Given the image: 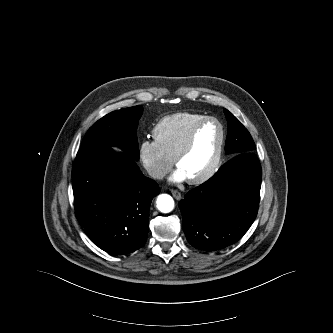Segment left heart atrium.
Instances as JSON below:
<instances>
[{"label":"left heart atrium","mask_w":333,"mask_h":333,"mask_svg":"<svg viewBox=\"0 0 333 333\" xmlns=\"http://www.w3.org/2000/svg\"><path fill=\"white\" fill-rule=\"evenodd\" d=\"M186 180H187L186 176L180 169H177L171 177V181L173 182H183Z\"/></svg>","instance_id":"left-heart-atrium-1"}]
</instances>
